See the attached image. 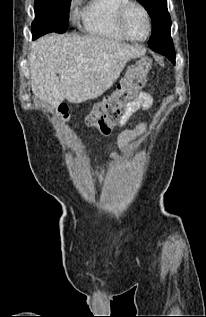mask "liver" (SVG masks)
<instances>
[{"label": "liver", "mask_w": 206, "mask_h": 317, "mask_svg": "<svg viewBox=\"0 0 206 317\" xmlns=\"http://www.w3.org/2000/svg\"><path fill=\"white\" fill-rule=\"evenodd\" d=\"M145 51L98 36L45 35L30 48L32 92L53 109L64 99H95L114 84L128 61Z\"/></svg>", "instance_id": "liver-1"}]
</instances>
